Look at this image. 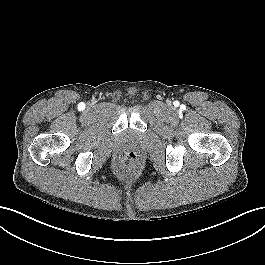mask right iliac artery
<instances>
[{"instance_id":"right-iliac-artery-1","label":"right iliac artery","mask_w":265,"mask_h":265,"mask_svg":"<svg viewBox=\"0 0 265 265\" xmlns=\"http://www.w3.org/2000/svg\"><path fill=\"white\" fill-rule=\"evenodd\" d=\"M78 108L81 110V109H84L85 108V104L84 103H80L79 105H78Z\"/></svg>"}]
</instances>
